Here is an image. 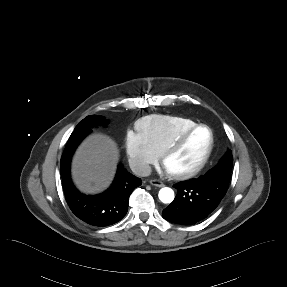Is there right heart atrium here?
<instances>
[{"mask_svg":"<svg viewBox=\"0 0 287 287\" xmlns=\"http://www.w3.org/2000/svg\"><path fill=\"white\" fill-rule=\"evenodd\" d=\"M125 147L129 162L139 174L148 173L151 165L159 159V153L149 140L139 132H128Z\"/></svg>","mask_w":287,"mask_h":287,"instance_id":"right-heart-atrium-1","label":"right heart atrium"}]
</instances>
